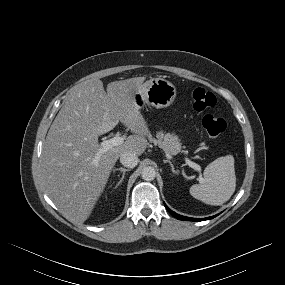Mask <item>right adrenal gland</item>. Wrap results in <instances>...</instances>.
Returning a JSON list of instances; mask_svg holds the SVG:
<instances>
[{
  "instance_id": "obj_1",
  "label": "right adrenal gland",
  "mask_w": 285,
  "mask_h": 285,
  "mask_svg": "<svg viewBox=\"0 0 285 285\" xmlns=\"http://www.w3.org/2000/svg\"><path fill=\"white\" fill-rule=\"evenodd\" d=\"M114 171H120V172H122V177H121V179L119 180V182L116 184V186H115V188H117V186H119L121 183H122V181H123V179H124V176H125V173L126 172H128V171H130V169H125V168H116V169H114Z\"/></svg>"
}]
</instances>
